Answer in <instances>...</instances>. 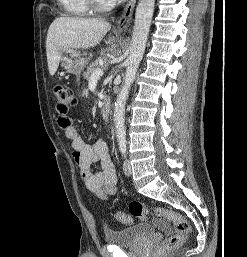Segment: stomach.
Listing matches in <instances>:
<instances>
[{"label":"stomach","mask_w":247,"mask_h":257,"mask_svg":"<svg viewBox=\"0 0 247 257\" xmlns=\"http://www.w3.org/2000/svg\"><path fill=\"white\" fill-rule=\"evenodd\" d=\"M88 64V59L79 51L68 49L61 55V65L69 73L80 75Z\"/></svg>","instance_id":"1"}]
</instances>
